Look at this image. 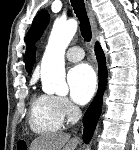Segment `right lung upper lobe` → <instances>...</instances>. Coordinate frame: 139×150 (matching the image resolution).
Instances as JSON below:
<instances>
[{"instance_id":"obj_1","label":"right lung upper lobe","mask_w":139,"mask_h":150,"mask_svg":"<svg viewBox=\"0 0 139 150\" xmlns=\"http://www.w3.org/2000/svg\"><path fill=\"white\" fill-rule=\"evenodd\" d=\"M34 60H35V50L32 53V57H31V61H30V67H29V73H31V71H32Z\"/></svg>"}]
</instances>
